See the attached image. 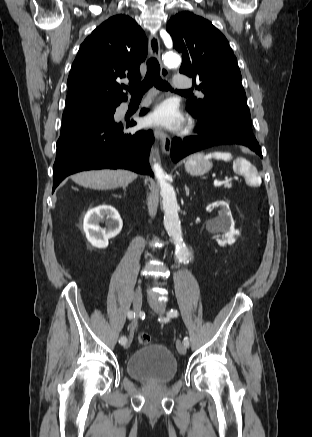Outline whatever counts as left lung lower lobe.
Instances as JSON below:
<instances>
[{
  "label": "left lung lower lobe",
  "instance_id": "left-lung-lower-lobe-1",
  "mask_svg": "<svg viewBox=\"0 0 312 437\" xmlns=\"http://www.w3.org/2000/svg\"><path fill=\"white\" fill-rule=\"evenodd\" d=\"M198 119L202 122V124L198 126V130L200 131L198 136L189 137L184 140L179 138L173 139L171 158L174 162H178L183 157L196 151L221 144L244 145L262 158L261 147L256 139H246L234 132V130L226 124L214 123L201 118Z\"/></svg>",
  "mask_w": 312,
  "mask_h": 437
}]
</instances>
